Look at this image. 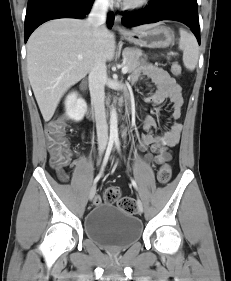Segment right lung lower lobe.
I'll return each mask as SVG.
<instances>
[{
    "mask_svg": "<svg viewBox=\"0 0 231 281\" xmlns=\"http://www.w3.org/2000/svg\"><path fill=\"white\" fill-rule=\"evenodd\" d=\"M94 0H28L25 17V42L31 33L44 22L58 18H84ZM114 14L108 15L107 23L111 28Z\"/></svg>",
    "mask_w": 231,
    "mask_h": 281,
    "instance_id": "1",
    "label": "right lung lower lobe"
}]
</instances>
